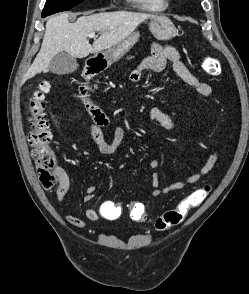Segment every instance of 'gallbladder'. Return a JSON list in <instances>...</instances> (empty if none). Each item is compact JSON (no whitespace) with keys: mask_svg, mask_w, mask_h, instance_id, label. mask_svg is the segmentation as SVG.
I'll return each mask as SVG.
<instances>
[{"mask_svg":"<svg viewBox=\"0 0 249 294\" xmlns=\"http://www.w3.org/2000/svg\"><path fill=\"white\" fill-rule=\"evenodd\" d=\"M77 67L76 58L65 52L58 53L49 64V70L57 75L73 73Z\"/></svg>","mask_w":249,"mask_h":294,"instance_id":"bac80fb5","label":"gallbladder"}]
</instances>
